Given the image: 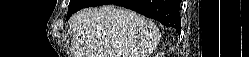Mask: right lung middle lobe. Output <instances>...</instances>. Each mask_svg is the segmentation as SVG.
Returning <instances> with one entry per match:
<instances>
[{
    "label": "right lung middle lobe",
    "instance_id": "1",
    "mask_svg": "<svg viewBox=\"0 0 249 57\" xmlns=\"http://www.w3.org/2000/svg\"><path fill=\"white\" fill-rule=\"evenodd\" d=\"M91 0H71L68 8L67 19L76 11L88 7Z\"/></svg>",
    "mask_w": 249,
    "mask_h": 57
}]
</instances>
